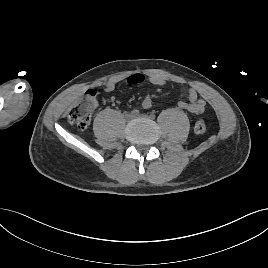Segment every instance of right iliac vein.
Instances as JSON below:
<instances>
[{
    "label": "right iliac vein",
    "mask_w": 268,
    "mask_h": 268,
    "mask_svg": "<svg viewBox=\"0 0 268 268\" xmlns=\"http://www.w3.org/2000/svg\"><path fill=\"white\" fill-rule=\"evenodd\" d=\"M125 118H126L127 121H130V120L135 118V115H133L132 113H127L125 115Z\"/></svg>",
    "instance_id": "1"
}]
</instances>
